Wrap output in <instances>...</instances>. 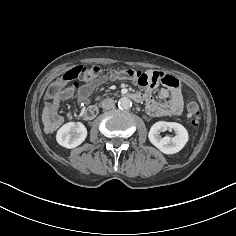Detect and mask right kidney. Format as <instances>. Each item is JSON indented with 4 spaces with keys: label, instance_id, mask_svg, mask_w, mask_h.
Masks as SVG:
<instances>
[{
    "label": "right kidney",
    "instance_id": "ca27d5eb",
    "mask_svg": "<svg viewBox=\"0 0 236 236\" xmlns=\"http://www.w3.org/2000/svg\"><path fill=\"white\" fill-rule=\"evenodd\" d=\"M87 137V129L81 122L64 124L56 134L59 145L72 149L79 146Z\"/></svg>",
    "mask_w": 236,
    "mask_h": 236
}]
</instances>
